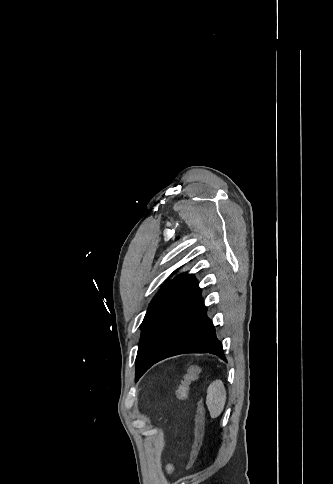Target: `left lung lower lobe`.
<instances>
[{"instance_id":"obj_1","label":"left lung lower lobe","mask_w":333,"mask_h":484,"mask_svg":"<svg viewBox=\"0 0 333 484\" xmlns=\"http://www.w3.org/2000/svg\"><path fill=\"white\" fill-rule=\"evenodd\" d=\"M200 295L195 278L182 274L159 296L142 324L136 381L156 362L179 354L211 353L226 361Z\"/></svg>"}]
</instances>
